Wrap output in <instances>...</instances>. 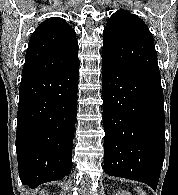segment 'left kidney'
Masks as SVG:
<instances>
[{"instance_id": "1", "label": "left kidney", "mask_w": 178, "mask_h": 195, "mask_svg": "<svg viewBox=\"0 0 178 195\" xmlns=\"http://www.w3.org/2000/svg\"><path fill=\"white\" fill-rule=\"evenodd\" d=\"M116 195H132V194L125 190H119Z\"/></svg>"}]
</instances>
